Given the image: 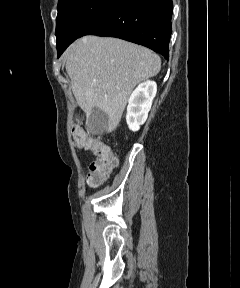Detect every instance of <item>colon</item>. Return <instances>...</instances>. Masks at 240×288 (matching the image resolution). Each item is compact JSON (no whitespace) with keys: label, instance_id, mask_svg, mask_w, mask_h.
I'll return each instance as SVG.
<instances>
[{"label":"colon","instance_id":"colon-1","mask_svg":"<svg viewBox=\"0 0 240 288\" xmlns=\"http://www.w3.org/2000/svg\"><path fill=\"white\" fill-rule=\"evenodd\" d=\"M72 136L77 147L90 150L95 156L87 174V184L91 187L101 185L107 180L117 164L110 147L99 140L89 137L79 126L72 128Z\"/></svg>","mask_w":240,"mask_h":288}]
</instances>
